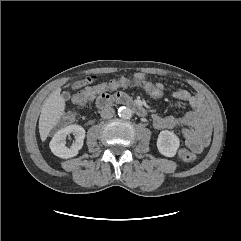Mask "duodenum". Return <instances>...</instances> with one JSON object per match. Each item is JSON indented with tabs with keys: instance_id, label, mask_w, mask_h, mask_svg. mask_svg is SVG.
Returning a JSON list of instances; mask_svg holds the SVG:
<instances>
[{
	"instance_id": "410a0bca",
	"label": "duodenum",
	"mask_w": 241,
	"mask_h": 241,
	"mask_svg": "<svg viewBox=\"0 0 241 241\" xmlns=\"http://www.w3.org/2000/svg\"><path fill=\"white\" fill-rule=\"evenodd\" d=\"M113 104H123L133 109L139 116L146 115L145 109L140 104L120 92L102 93L96 99V106L99 109H105Z\"/></svg>"
}]
</instances>
